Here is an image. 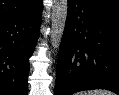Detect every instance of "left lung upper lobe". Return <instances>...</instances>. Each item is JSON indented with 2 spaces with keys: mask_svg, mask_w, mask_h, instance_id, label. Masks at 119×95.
Masks as SVG:
<instances>
[{
  "mask_svg": "<svg viewBox=\"0 0 119 95\" xmlns=\"http://www.w3.org/2000/svg\"><path fill=\"white\" fill-rule=\"evenodd\" d=\"M93 3L119 10V0H89Z\"/></svg>",
  "mask_w": 119,
  "mask_h": 95,
  "instance_id": "5c2ea615",
  "label": "left lung upper lobe"
}]
</instances>
